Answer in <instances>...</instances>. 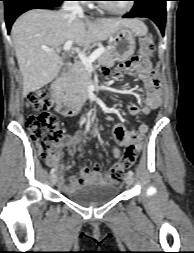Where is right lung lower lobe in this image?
I'll use <instances>...</instances> for the list:
<instances>
[{"instance_id":"right-lung-lower-lobe-1","label":"right lung lower lobe","mask_w":194,"mask_h":253,"mask_svg":"<svg viewBox=\"0 0 194 253\" xmlns=\"http://www.w3.org/2000/svg\"><path fill=\"white\" fill-rule=\"evenodd\" d=\"M5 2V21L8 33L15 19L22 13L36 8H55L64 0H3Z\"/></svg>"}]
</instances>
